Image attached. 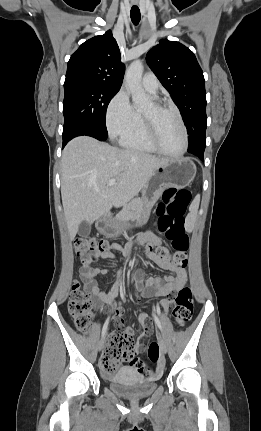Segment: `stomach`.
Segmentation results:
<instances>
[{
	"label": "stomach",
	"mask_w": 261,
	"mask_h": 431,
	"mask_svg": "<svg viewBox=\"0 0 261 431\" xmlns=\"http://www.w3.org/2000/svg\"><path fill=\"white\" fill-rule=\"evenodd\" d=\"M196 175V166L188 158L179 160H168L167 163L158 167L142 191L144 202V214L138 220L139 224H144L148 219L150 208L161 196L162 192L170 187L184 188L191 184ZM128 225L114 220H104L98 229L106 236H117Z\"/></svg>",
	"instance_id": "1"
}]
</instances>
